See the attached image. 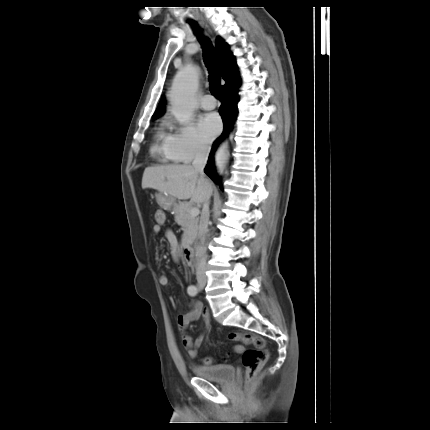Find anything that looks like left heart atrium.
<instances>
[{
  "label": "left heart atrium",
  "mask_w": 430,
  "mask_h": 430,
  "mask_svg": "<svg viewBox=\"0 0 430 430\" xmlns=\"http://www.w3.org/2000/svg\"><path fill=\"white\" fill-rule=\"evenodd\" d=\"M198 126L203 139L210 142L220 132L221 121L217 114L208 113L200 118Z\"/></svg>",
  "instance_id": "left-heart-atrium-1"
}]
</instances>
